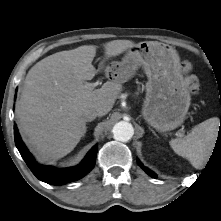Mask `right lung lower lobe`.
<instances>
[{"label": "right lung lower lobe", "instance_id": "1", "mask_svg": "<svg viewBox=\"0 0 221 221\" xmlns=\"http://www.w3.org/2000/svg\"><path fill=\"white\" fill-rule=\"evenodd\" d=\"M14 138L17 149L32 173L39 180L48 184L62 185L76 181L85 176L95 165L97 145L89 151L84 160L78 166L72 168H55L52 166L40 165L34 160L22 142L16 126H14Z\"/></svg>", "mask_w": 221, "mask_h": 221}]
</instances>
